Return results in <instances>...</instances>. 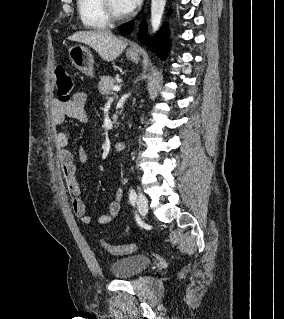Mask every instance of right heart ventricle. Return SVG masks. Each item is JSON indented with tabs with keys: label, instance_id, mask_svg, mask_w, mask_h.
Segmentation results:
<instances>
[{
	"label": "right heart ventricle",
	"instance_id": "obj_1",
	"mask_svg": "<svg viewBox=\"0 0 284 319\" xmlns=\"http://www.w3.org/2000/svg\"><path fill=\"white\" fill-rule=\"evenodd\" d=\"M77 9L86 28L104 29L110 24L103 9L102 0H77Z\"/></svg>",
	"mask_w": 284,
	"mask_h": 319
}]
</instances>
